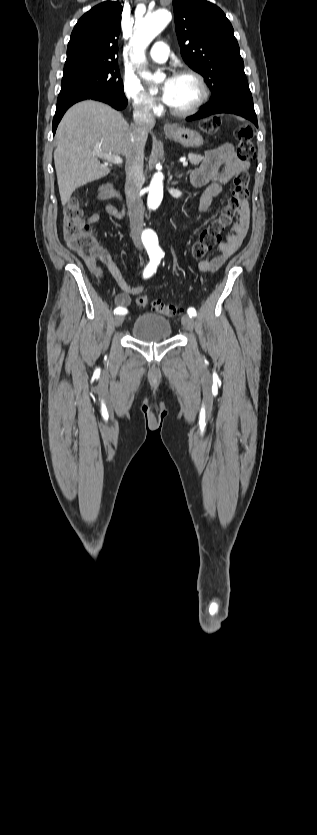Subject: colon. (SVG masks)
<instances>
[{"label":"colon","mask_w":317,"mask_h":835,"mask_svg":"<svg viewBox=\"0 0 317 835\" xmlns=\"http://www.w3.org/2000/svg\"><path fill=\"white\" fill-rule=\"evenodd\" d=\"M221 128L218 118H209L203 121L202 129L209 135H216ZM237 142V157L242 161H252L256 157L253 143V129L243 125L235 130ZM250 177L246 171L238 173L233 180L231 195L223 206L220 214L214 218L200 233L198 240L191 246V256L198 260L203 258L221 240L223 231L229 227L234 217L247 203L249 197ZM63 232L72 250L77 252L84 259L92 258L98 250L97 244L91 234L89 224L83 219V211L78 197H71L63 206ZM136 303L140 307H146L149 303L148 297L139 295ZM151 307L154 312L175 317L179 314V308L174 304H167L160 300H153Z\"/></svg>","instance_id":"5ec220e1"}]
</instances>
